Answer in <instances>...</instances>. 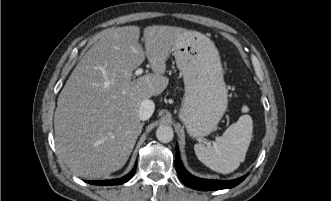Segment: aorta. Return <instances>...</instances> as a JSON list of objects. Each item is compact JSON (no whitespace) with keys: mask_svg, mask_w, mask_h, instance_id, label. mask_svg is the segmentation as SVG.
I'll return each mask as SVG.
<instances>
[{"mask_svg":"<svg viewBox=\"0 0 331 201\" xmlns=\"http://www.w3.org/2000/svg\"><path fill=\"white\" fill-rule=\"evenodd\" d=\"M156 137L162 143H169L174 137L172 127L168 125H160L156 130Z\"/></svg>","mask_w":331,"mask_h":201,"instance_id":"aorta-1","label":"aorta"}]
</instances>
